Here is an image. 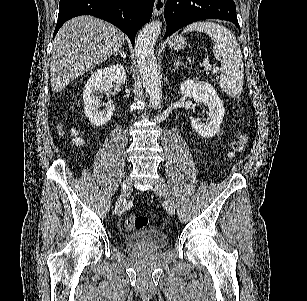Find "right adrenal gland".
<instances>
[{
	"label": "right adrenal gland",
	"mask_w": 307,
	"mask_h": 301,
	"mask_svg": "<svg viewBox=\"0 0 307 301\" xmlns=\"http://www.w3.org/2000/svg\"><path fill=\"white\" fill-rule=\"evenodd\" d=\"M117 54H121V56H123V58H126V54H125L123 48H120V50H118V52H115L114 56H117Z\"/></svg>",
	"instance_id": "2a0ac1e0"
}]
</instances>
